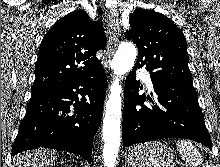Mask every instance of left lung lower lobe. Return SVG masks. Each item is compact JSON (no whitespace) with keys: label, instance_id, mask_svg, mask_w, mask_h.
Masks as SVG:
<instances>
[{"label":"left lung lower lobe","instance_id":"obj_1","mask_svg":"<svg viewBox=\"0 0 220 167\" xmlns=\"http://www.w3.org/2000/svg\"><path fill=\"white\" fill-rule=\"evenodd\" d=\"M137 68L134 67L125 82L124 146L163 138H186L212 149L193 84L151 77L158 97L157 104L148 107L143 104L145 95L138 94L141 87L135 78ZM147 100L152 101L150 97Z\"/></svg>","mask_w":220,"mask_h":167}]
</instances>
